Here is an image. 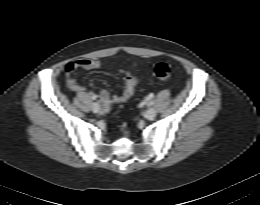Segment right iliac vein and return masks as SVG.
<instances>
[{
	"mask_svg": "<svg viewBox=\"0 0 260 205\" xmlns=\"http://www.w3.org/2000/svg\"><path fill=\"white\" fill-rule=\"evenodd\" d=\"M91 109L94 113H97L101 110V106L97 102H94L91 105Z\"/></svg>",
	"mask_w": 260,
	"mask_h": 205,
	"instance_id": "obj_1",
	"label": "right iliac vein"
}]
</instances>
